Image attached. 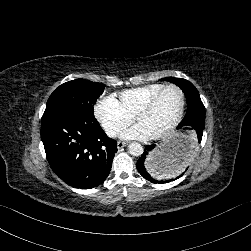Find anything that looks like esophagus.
<instances>
[{
  "instance_id": "esophagus-1",
  "label": "esophagus",
  "mask_w": 251,
  "mask_h": 251,
  "mask_svg": "<svg viewBox=\"0 0 251 251\" xmlns=\"http://www.w3.org/2000/svg\"><path fill=\"white\" fill-rule=\"evenodd\" d=\"M125 145H126V142L118 141V143H117L118 150H121Z\"/></svg>"
}]
</instances>
